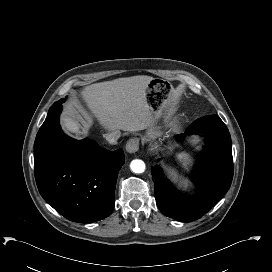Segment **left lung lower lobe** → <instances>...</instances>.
Instances as JSON below:
<instances>
[{
    "instance_id": "left-lung-lower-lobe-1",
    "label": "left lung lower lobe",
    "mask_w": 272,
    "mask_h": 272,
    "mask_svg": "<svg viewBox=\"0 0 272 272\" xmlns=\"http://www.w3.org/2000/svg\"><path fill=\"white\" fill-rule=\"evenodd\" d=\"M190 133L203 134L206 138L205 153L197 162L191 178L197 186V194L186 196L179 193L162 176L160 167L152 171L155 199L160 211L180 221H194L207 213L228 191L233 178L231 137L219 116L197 119L177 139L183 140Z\"/></svg>"
}]
</instances>
